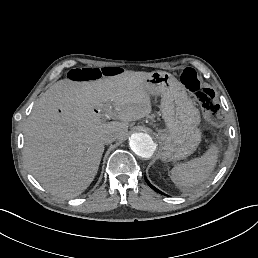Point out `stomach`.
<instances>
[{
  "label": "stomach",
  "instance_id": "1",
  "mask_svg": "<svg viewBox=\"0 0 258 258\" xmlns=\"http://www.w3.org/2000/svg\"><path fill=\"white\" fill-rule=\"evenodd\" d=\"M146 92L161 96V112L166 128L158 131L159 157L177 161L194 153L201 142L200 112L183 84L171 73L155 71L144 82Z\"/></svg>",
  "mask_w": 258,
  "mask_h": 258
}]
</instances>
